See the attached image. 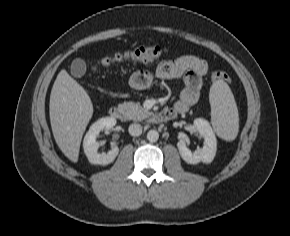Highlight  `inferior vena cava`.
<instances>
[{
	"label": "inferior vena cava",
	"mask_w": 290,
	"mask_h": 236,
	"mask_svg": "<svg viewBox=\"0 0 290 236\" xmlns=\"http://www.w3.org/2000/svg\"><path fill=\"white\" fill-rule=\"evenodd\" d=\"M129 134L132 136H139L142 133V126L137 123H133L128 128Z\"/></svg>",
	"instance_id": "inferior-vena-cava-1"
}]
</instances>
